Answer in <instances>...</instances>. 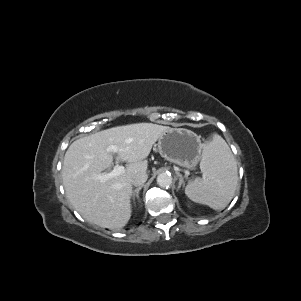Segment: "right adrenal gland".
Here are the masks:
<instances>
[{
	"instance_id": "right-adrenal-gland-1",
	"label": "right adrenal gland",
	"mask_w": 301,
	"mask_h": 301,
	"mask_svg": "<svg viewBox=\"0 0 301 301\" xmlns=\"http://www.w3.org/2000/svg\"><path fill=\"white\" fill-rule=\"evenodd\" d=\"M141 189H142V186L136 188V189L132 192V199H133V201L135 200V198H137V200H140V199H139V192H140Z\"/></svg>"
}]
</instances>
